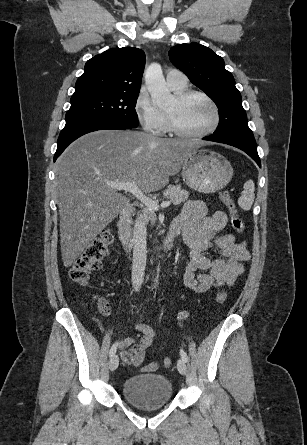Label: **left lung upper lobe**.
I'll return each mask as SVG.
<instances>
[{"mask_svg": "<svg viewBox=\"0 0 307 445\" xmlns=\"http://www.w3.org/2000/svg\"><path fill=\"white\" fill-rule=\"evenodd\" d=\"M170 60L203 90L219 109V125L213 135L253 136L247 124L240 92L223 59L198 43L179 44L169 51Z\"/></svg>", "mask_w": 307, "mask_h": 445, "instance_id": "1", "label": "left lung upper lobe"}]
</instances>
